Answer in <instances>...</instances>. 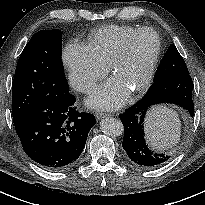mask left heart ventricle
Here are the masks:
<instances>
[{
    "label": "left heart ventricle",
    "mask_w": 205,
    "mask_h": 205,
    "mask_svg": "<svg viewBox=\"0 0 205 205\" xmlns=\"http://www.w3.org/2000/svg\"><path fill=\"white\" fill-rule=\"evenodd\" d=\"M157 46L152 33H143L133 40L127 58L119 65L114 78L127 89L138 86L144 79Z\"/></svg>",
    "instance_id": "left-heart-ventricle-1"
}]
</instances>
